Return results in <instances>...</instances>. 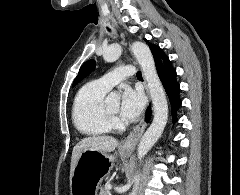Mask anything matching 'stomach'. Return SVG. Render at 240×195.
<instances>
[{
  "instance_id": "obj_1",
  "label": "stomach",
  "mask_w": 240,
  "mask_h": 195,
  "mask_svg": "<svg viewBox=\"0 0 240 195\" xmlns=\"http://www.w3.org/2000/svg\"><path fill=\"white\" fill-rule=\"evenodd\" d=\"M135 145L123 147L119 145L120 155H129ZM116 155L102 153L98 149L86 147L80 153L78 163L70 177V195H98L100 183L112 167H114Z\"/></svg>"
}]
</instances>
